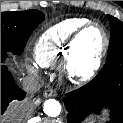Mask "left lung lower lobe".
Returning <instances> with one entry per match:
<instances>
[{
  "mask_svg": "<svg viewBox=\"0 0 123 123\" xmlns=\"http://www.w3.org/2000/svg\"><path fill=\"white\" fill-rule=\"evenodd\" d=\"M64 104L69 112L68 123H82L103 107L111 111V120L106 123H123V72L107 77L100 71L88 84L69 92Z\"/></svg>",
  "mask_w": 123,
  "mask_h": 123,
  "instance_id": "0a47b994",
  "label": "left lung lower lobe"
}]
</instances>
